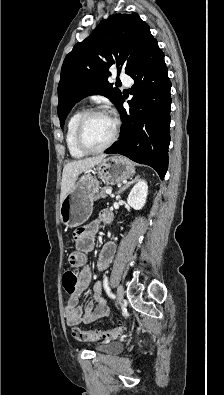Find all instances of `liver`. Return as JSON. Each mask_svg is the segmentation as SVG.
<instances>
[{
	"instance_id": "liver-1",
	"label": "liver",
	"mask_w": 224,
	"mask_h": 395,
	"mask_svg": "<svg viewBox=\"0 0 224 395\" xmlns=\"http://www.w3.org/2000/svg\"><path fill=\"white\" fill-rule=\"evenodd\" d=\"M106 157L105 154L89 157L85 159H79L67 163L63 168L62 173V181H61V193H60V202L64 200L67 194L74 187L78 176L97 165L100 161H102Z\"/></svg>"
}]
</instances>
